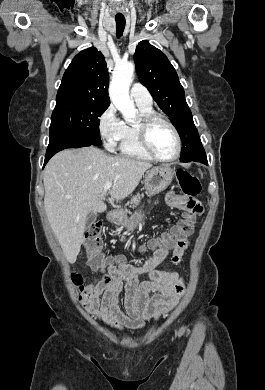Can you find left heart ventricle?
<instances>
[{
	"mask_svg": "<svg viewBox=\"0 0 265 390\" xmlns=\"http://www.w3.org/2000/svg\"><path fill=\"white\" fill-rule=\"evenodd\" d=\"M149 140L154 151L163 158H170L176 151V139L172 130L162 122L150 129Z\"/></svg>",
	"mask_w": 265,
	"mask_h": 390,
	"instance_id": "b2bd125f",
	"label": "left heart ventricle"
}]
</instances>
